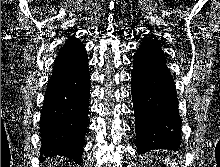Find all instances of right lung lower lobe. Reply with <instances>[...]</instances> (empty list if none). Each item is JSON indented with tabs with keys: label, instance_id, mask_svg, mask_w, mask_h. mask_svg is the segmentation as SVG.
Returning a JSON list of instances; mask_svg holds the SVG:
<instances>
[{
	"label": "right lung lower lobe",
	"instance_id": "right-lung-lower-lobe-1",
	"mask_svg": "<svg viewBox=\"0 0 220 167\" xmlns=\"http://www.w3.org/2000/svg\"><path fill=\"white\" fill-rule=\"evenodd\" d=\"M87 64L52 73L40 120V162L60 155L81 163L90 95Z\"/></svg>",
	"mask_w": 220,
	"mask_h": 167
}]
</instances>
